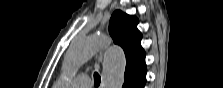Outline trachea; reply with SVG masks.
I'll return each mask as SVG.
<instances>
[{
  "label": "trachea",
  "mask_w": 223,
  "mask_h": 88,
  "mask_svg": "<svg viewBox=\"0 0 223 88\" xmlns=\"http://www.w3.org/2000/svg\"><path fill=\"white\" fill-rule=\"evenodd\" d=\"M100 81H101L100 75L97 72H95L94 73V84L96 87L100 85Z\"/></svg>",
  "instance_id": "obj_1"
}]
</instances>
